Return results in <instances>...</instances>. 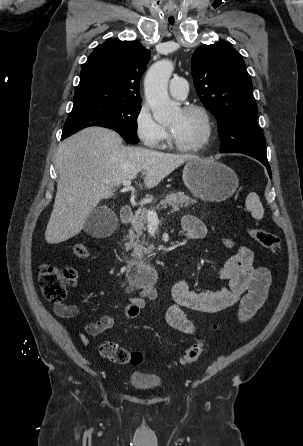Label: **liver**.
I'll use <instances>...</instances> for the list:
<instances>
[{
  "label": "liver",
  "mask_w": 303,
  "mask_h": 446,
  "mask_svg": "<svg viewBox=\"0 0 303 446\" xmlns=\"http://www.w3.org/2000/svg\"><path fill=\"white\" fill-rule=\"evenodd\" d=\"M196 158L124 146L122 138L106 128L83 129L57 150L59 180L45 232L47 243L57 244L79 234L91 211L102 199L111 197L123 181L133 180L142 172L145 187L151 189L180 165Z\"/></svg>",
  "instance_id": "1"
}]
</instances>
